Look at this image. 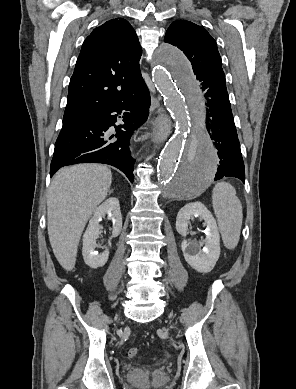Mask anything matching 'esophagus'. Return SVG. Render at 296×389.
I'll return each instance as SVG.
<instances>
[{
  "instance_id": "1",
  "label": "esophagus",
  "mask_w": 296,
  "mask_h": 389,
  "mask_svg": "<svg viewBox=\"0 0 296 389\" xmlns=\"http://www.w3.org/2000/svg\"><path fill=\"white\" fill-rule=\"evenodd\" d=\"M151 108L157 109V113L159 114V116H160L162 119H165V118H166V114L164 113V110H163L162 108H160L158 100H157L156 98H154V97H152ZM159 116H156V117H155V120H156V121H159V120H160V117H159ZM164 125H165V123L163 122V123L161 124V127L163 128ZM137 139H138L139 142L144 143V142L147 141L148 136H147L146 133L141 132V133L138 134Z\"/></svg>"
}]
</instances>
